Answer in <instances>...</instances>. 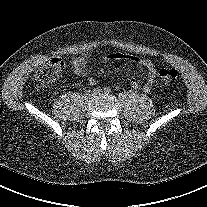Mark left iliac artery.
Segmentation results:
<instances>
[{"label":"left iliac artery","mask_w":207,"mask_h":207,"mask_svg":"<svg viewBox=\"0 0 207 207\" xmlns=\"http://www.w3.org/2000/svg\"><path fill=\"white\" fill-rule=\"evenodd\" d=\"M104 93L105 94H109V93H111V89L110 88H104Z\"/></svg>","instance_id":"obj_1"}]
</instances>
